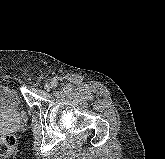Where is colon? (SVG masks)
I'll use <instances>...</instances> for the list:
<instances>
[{"label":"colon","mask_w":165,"mask_h":159,"mask_svg":"<svg viewBox=\"0 0 165 159\" xmlns=\"http://www.w3.org/2000/svg\"><path fill=\"white\" fill-rule=\"evenodd\" d=\"M16 147V138L13 134L7 133L0 136V156L11 155Z\"/></svg>","instance_id":"obj_1"}]
</instances>
